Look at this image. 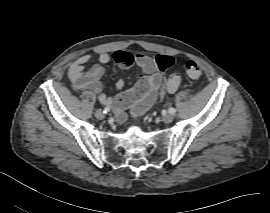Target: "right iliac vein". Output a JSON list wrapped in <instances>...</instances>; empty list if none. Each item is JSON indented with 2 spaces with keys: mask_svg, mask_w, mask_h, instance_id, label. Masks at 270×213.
Here are the masks:
<instances>
[{
  "mask_svg": "<svg viewBox=\"0 0 270 213\" xmlns=\"http://www.w3.org/2000/svg\"><path fill=\"white\" fill-rule=\"evenodd\" d=\"M95 116H96L98 119H102V118H104V113H103V111H102L101 109H97V110L95 111Z\"/></svg>",
  "mask_w": 270,
  "mask_h": 213,
  "instance_id": "obj_1",
  "label": "right iliac vein"
}]
</instances>
